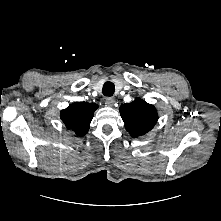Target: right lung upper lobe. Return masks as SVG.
<instances>
[{"instance_id": "obj_1", "label": "right lung upper lobe", "mask_w": 221, "mask_h": 221, "mask_svg": "<svg viewBox=\"0 0 221 221\" xmlns=\"http://www.w3.org/2000/svg\"><path fill=\"white\" fill-rule=\"evenodd\" d=\"M98 105L88 102H76L61 111L60 117L68 129L78 136L85 135L90 126L95 110Z\"/></svg>"}]
</instances>
